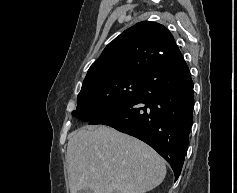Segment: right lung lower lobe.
Masks as SVG:
<instances>
[{"label": "right lung lower lobe", "instance_id": "obj_1", "mask_svg": "<svg viewBox=\"0 0 237 193\" xmlns=\"http://www.w3.org/2000/svg\"><path fill=\"white\" fill-rule=\"evenodd\" d=\"M193 106V81L179 50L144 76L139 92L128 103L89 122L144 141L170 163L177 180L188 147Z\"/></svg>", "mask_w": 237, "mask_h": 193}]
</instances>
